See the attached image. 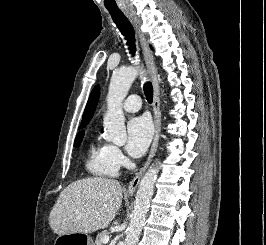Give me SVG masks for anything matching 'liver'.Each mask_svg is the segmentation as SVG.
Returning a JSON list of instances; mask_svg holds the SVG:
<instances>
[{"mask_svg":"<svg viewBox=\"0 0 266 245\" xmlns=\"http://www.w3.org/2000/svg\"><path fill=\"white\" fill-rule=\"evenodd\" d=\"M123 189L115 179L91 177L61 191L49 215L56 235L94 233L106 229L121 207Z\"/></svg>","mask_w":266,"mask_h":245,"instance_id":"obj_1","label":"liver"}]
</instances>
